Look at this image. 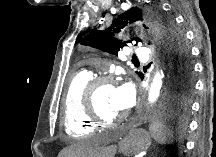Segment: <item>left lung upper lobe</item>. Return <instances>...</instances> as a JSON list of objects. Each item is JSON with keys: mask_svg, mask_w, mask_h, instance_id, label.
<instances>
[{"mask_svg": "<svg viewBox=\"0 0 216 157\" xmlns=\"http://www.w3.org/2000/svg\"><path fill=\"white\" fill-rule=\"evenodd\" d=\"M136 21H145L148 26L143 25L144 28L153 30L161 41L169 70L167 86L172 75L182 85L192 81L193 69L190 51L184 35L176 28L174 21L165 16L158 7L145 9L131 7L118 15L107 29L92 31L86 35L80 44L99 48L110 54H117L123 46H126L127 42H141L138 37H132L129 41H121L115 37L121 29ZM137 74L142 77L141 73L137 72Z\"/></svg>", "mask_w": 216, "mask_h": 157, "instance_id": "1", "label": "left lung upper lobe"}]
</instances>
